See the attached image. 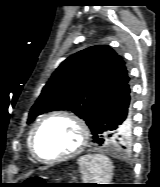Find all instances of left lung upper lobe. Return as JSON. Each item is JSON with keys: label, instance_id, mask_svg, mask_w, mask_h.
Listing matches in <instances>:
<instances>
[{"label": "left lung upper lobe", "instance_id": "1", "mask_svg": "<svg viewBox=\"0 0 160 187\" xmlns=\"http://www.w3.org/2000/svg\"><path fill=\"white\" fill-rule=\"evenodd\" d=\"M129 82L123 59L107 45H96L79 51L54 71L32 106L28 123L36 116L56 110H69L94 126L103 104ZM127 125L118 132L122 134ZM131 129L127 132L124 149H129Z\"/></svg>", "mask_w": 160, "mask_h": 187}]
</instances>
